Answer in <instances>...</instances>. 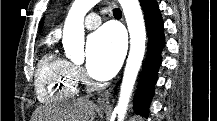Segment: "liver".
Instances as JSON below:
<instances>
[{"label":"liver","mask_w":217,"mask_h":121,"mask_svg":"<svg viewBox=\"0 0 217 121\" xmlns=\"http://www.w3.org/2000/svg\"><path fill=\"white\" fill-rule=\"evenodd\" d=\"M95 104L87 99H77L54 107L40 109L39 121H94Z\"/></svg>","instance_id":"liver-1"}]
</instances>
